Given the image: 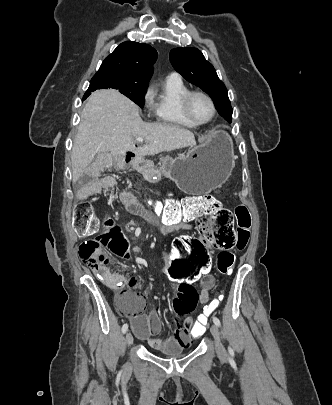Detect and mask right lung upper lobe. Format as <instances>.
<instances>
[{
    "label": "right lung upper lobe",
    "mask_w": 332,
    "mask_h": 405,
    "mask_svg": "<svg viewBox=\"0 0 332 405\" xmlns=\"http://www.w3.org/2000/svg\"><path fill=\"white\" fill-rule=\"evenodd\" d=\"M157 52L148 44L123 42L107 56L97 73L113 72L138 80L149 81Z\"/></svg>",
    "instance_id": "1"
}]
</instances>
